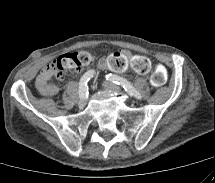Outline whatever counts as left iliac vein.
Returning a JSON list of instances; mask_svg holds the SVG:
<instances>
[{"label":"left iliac vein","instance_id":"1","mask_svg":"<svg viewBox=\"0 0 215 183\" xmlns=\"http://www.w3.org/2000/svg\"><path fill=\"white\" fill-rule=\"evenodd\" d=\"M102 85L107 90H111V91L121 93V94L123 93L121 87L116 85V84H113V83H110V82H103Z\"/></svg>","mask_w":215,"mask_h":183}]
</instances>
